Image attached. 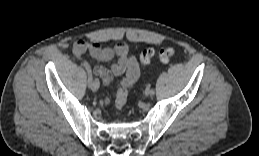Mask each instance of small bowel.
<instances>
[{"mask_svg":"<svg viewBox=\"0 0 259 156\" xmlns=\"http://www.w3.org/2000/svg\"><path fill=\"white\" fill-rule=\"evenodd\" d=\"M73 54L80 58L84 54H89L92 58L109 64V68L95 67L94 73L99 76L103 84H109L114 76L125 73V77L120 83L125 87L132 86L139 77V66L136 58L129 53V47L125 43L117 44L114 47H101L96 42L79 40L73 45ZM117 57V61L113 62ZM108 99L101 100V104H108Z\"/></svg>","mask_w":259,"mask_h":156,"instance_id":"c3829d8e","label":"small bowel"}]
</instances>
